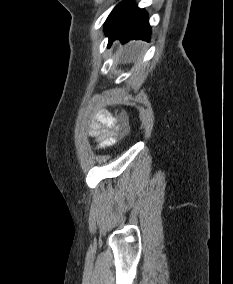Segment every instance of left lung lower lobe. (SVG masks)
I'll return each mask as SVG.
<instances>
[{
	"mask_svg": "<svg viewBox=\"0 0 233 284\" xmlns=\"http://www.w3.org/2000/svg\"><path fill=\"white\" fill-rule=\"evenodd\" d=\"M104 31L109 37L108 47L119 39L122 44L133 39L150 40V25L144 10L123 0L112 10L105 22Z\"/></svg>",
	"mask_w": 233,
	"mask_h": 284,
	"instance_id": "left-lung-lower-lobe-1",
	"label": "left lung lower lobe"
}]
</instances>
